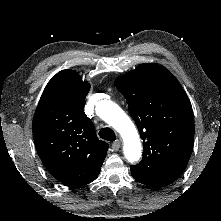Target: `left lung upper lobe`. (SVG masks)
Instances as JSON below:
<instances>
[{"instance_id": "obj_1", "label": "left lung upper lobe", "mask_w": 221, "mask_h": 221, "mask_svg": "<svg viewBox=\"0 0 221 221\" xmlns=\"http://www.w3.org/2000/svg\"><path fill=\"white\" fill-rule=\"evenodd\" d=\"M143 139V158L131 166L133 178L151 187L167 186L182 173L194 139L193 110L178 80L149 63L115 80Z\"/></svg>"}]
</instances>
